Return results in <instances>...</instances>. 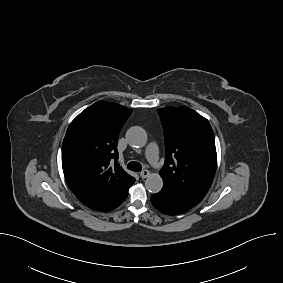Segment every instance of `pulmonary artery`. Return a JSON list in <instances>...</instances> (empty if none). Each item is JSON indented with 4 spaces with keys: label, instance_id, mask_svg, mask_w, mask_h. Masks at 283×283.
Masks as SVG:
<instances>
[{
    "label": "pulmonary artery",
    "instance_id": "pulmonary-artery-1",
    "mask_svg": "<svg viewBox=\"0 0 283 283\" xmlns=\"http://www.w3.org/2000/svg\"><path fill=\"white\" fill-rule=\"evenodd\" d=\"M146 158L148 161L155 167L159 166V153H158V147L155 142H151L145 152Z\"/></svg>",
    "mask_w": 283,
    "mask_h": 283
}]
</instances>
